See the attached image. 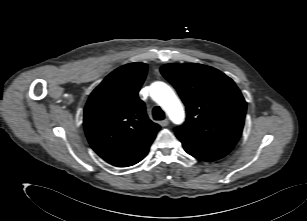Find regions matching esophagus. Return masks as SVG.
I'll return each mask as SVG.
<instances>
[{
    "label": "esophagus",
    "instance_id": "34e87169",
    "mask_svg": "<svg viewBox=\"0 0 307 221\" xmlns=\"http://www.w3.org/2000/svg\"><path fill=\"white\" fill-rule=\"evenodd\" d=\"M159 124L162 127H166L169 124V120L168 119H164V120L160 121Z\"/></svg>",
    "mask_w": 307,
    "mask_h": 221
}]
</instances>
